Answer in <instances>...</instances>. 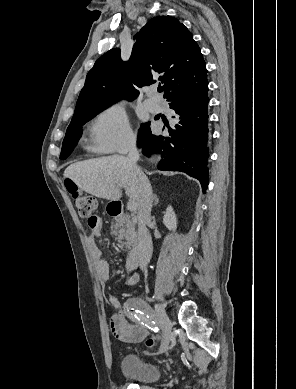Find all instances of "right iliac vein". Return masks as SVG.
<instances>
[{"instance_id": "1", "label": "right iliac vein", "mask_w": 296, "mask_h": 389, "mask_svg": "<svg viewBox=\"0 0 296 389\" xmlns=\"http://www.w3.org/2000/svg\"><path fill=\"white\" fill-rule=\"evenodd\" d=\"M154 316L155 319L159 322L163 332V342L159 350V353H162L167 349L170 343L172 324L167 314L165 313L163 307L160 304H155Z\"/></svg>"}]
</instances>
